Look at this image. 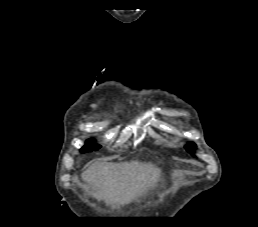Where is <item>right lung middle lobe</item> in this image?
Returning a JSON list of instances; mask_svg holds the SVG:
<instances>
[{"label": "right lung middle lobe", "instance_id": "right-lung-middle-lobe-1", "mask_svg": "<svg viewBox=\"0 0 258 227\" xmlns=\"http://www.w3.org/2000/svg\"><path fill=\"white\" fill-rule=\"evenodd\" d=\"M101 146L93 142V139L86 141L85 146L81 149L82 152H90L93 150H98Z\"/></svg>", "mask_w": 258, "mask_h": 227}]
</instances>
